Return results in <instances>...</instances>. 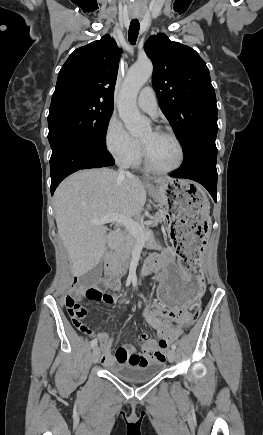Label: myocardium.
Masks as SVG:
<instances>
[{"label":"myocardium","instance_id":"obj_1","mask_svg":"<svg viewBox=\"0 0 263 435\" xmlns=\"http://www.w3.org/2000/svg\"><path fill=\"white\" fill-rule=\"evenodd\" d=\"M154 132L156 134H159V135L167 136L175 142V144L177 145L178 150H179V161L177 162L176 165H174L171 168H167V169L157 168L152 164L145 145L143 143H141L143 162H144L145 167L149 171L156 173V174H167V173H171L173 171H176L177 169H179L183 165V163L185 161V150H184V146H183L181 140L178 138V136L175 133H173L172 131L166 130L164 128H156L154 130Z\"/></svg>","mask_w":263,"mask_h":435}]
</instances>
